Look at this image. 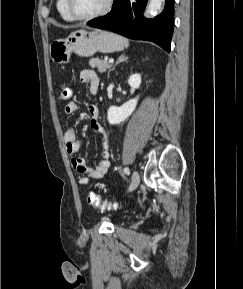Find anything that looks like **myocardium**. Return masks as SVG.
Segmentation results:
<instances>
[{"mask_svg": "<svg viewBox=\"0 0 243 289\" xmlns=\"http://www.w3.org/2000/svg\"><path fill=\"white\" fill-rule=\"evenodd\" d=\"M113 2H114V0H106L105 6L103 7V9L100 10L99 12L93 14V15H90V16L77 15L73 10L72 0H66V8H67L69 15L74 20H76V21H91V20H95V19H98V18H101V17L107 15L112 9Z\"/></svg>", "mask_w": 243, "mask_h": 289, "instance_id": "obj_1", "label": "myocardium"}]
</instances>
